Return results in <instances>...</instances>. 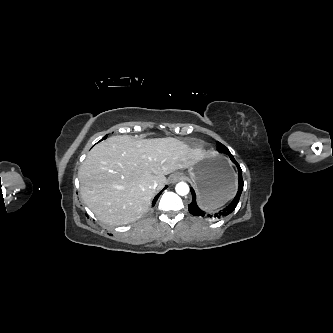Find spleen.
I'll use <instances>...</instances> for the list:
<instances>
[{
	"label": "spleen",
	"instance_id": "3e777b00",
	"mask_svg": "<svg viewBox=\"0 0 333 333\" xmlns=\"http://www.w3.org/2000/svg\"><path fill=\"white\" fill-rule=\"evenodd\" d=\"M233 195H234V194H233ZM233 195H232L229 199H227L225 202H223L221 205L214 207V209H215V208H218V207H220V206H222L223 204H225L228 200H230V199L233 197Z\"/></svg>",
	"mask_w": 333,
	"mask_h": 333
}]
</instances>
